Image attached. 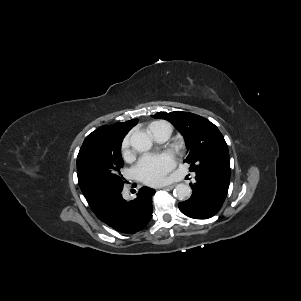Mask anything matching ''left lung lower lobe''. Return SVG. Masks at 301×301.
<instances>
[{
	"mask_svg": "<svg viewBox=\"0 0 301 301\" xmlns=\"http://www.w3.org/2000/svg\"><path fill=\"white\" fill-rule=\"evenodd\" d=\"M229 180L211 173H196V182L190 184L191 197L179 203V209L194 219H207L221 208L228 192Z\"/></svg>",
	"mask_w": 301,
	"mask_h": 301,
	"instance_id": "1",
	"label": "left lung lower lobe"
}]
</instances>
